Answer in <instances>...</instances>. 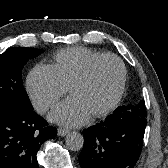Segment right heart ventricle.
<instances>
[{
  "mask_svg": "<svg viewBox=\"0 0 168 168\" xmlns=\"http://www.w3.org/2000/svg\"><path fill=\"white\" fill-rule=\"evenodd\" d=\"M102 54L104 53L85 47H70L55 54L53 66L63 83L69 87L86 65Z\"/></svg>",
  "mask_w": 168,
  "mask_h": 168,
  "instance_id": "e07e8e85",
  "label": "right heart ventricle"
}]
</instances>
